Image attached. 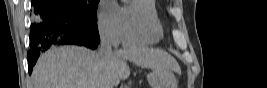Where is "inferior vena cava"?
<instances>
[{"mask_svg":"<svg viewBox=\"0 0 267 88\" xmlns=\"http://www.w3.org/2000/svg\"><path fill=\"white\" fill-rule=\"evenodd\" d=\"M100 39L101 47L99 50V55L102 58V61L105 62L108 58H110V56L113 55L114 52L112 50L111 42L108 35L103 31L100 32ZM103 88H112V86L110 85V83H107L105 86H103Z\"/></svg>","mask_w":267,"mask_h":88,"instance_id":"1","label":"inferior vena cava"}]
</instances>
